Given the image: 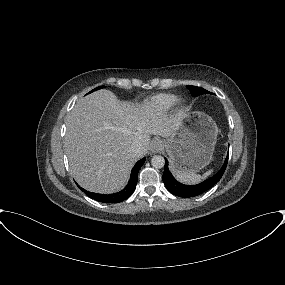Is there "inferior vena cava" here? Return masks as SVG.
Returning <instances> with one entry per match:
<instances>
[{
  "label": "inferior vena cava",
  "instance_id": "obj_1",
  "mask_svg": "<svg viewBox=\"0 0 285 285\" xmlns=\"http://www.w3.org/2000/svg\"><path fill=\"white\" fill-rule=\"evenodd\" d=\"M131 152L136 155L140 156L143 152V145L139 141H134L130 147Z\"/></svg>",
  "mask_w": 285,
  "mask_h": 285
}]
</instances>
